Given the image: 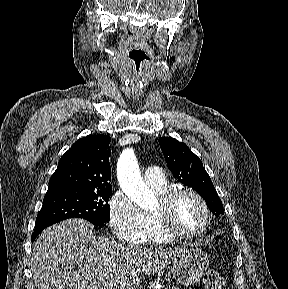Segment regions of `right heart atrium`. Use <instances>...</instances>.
Listing matches in <instances>:
<instances>
[{
  "label": "right heart atrium",
  "instance_id": "right-heart-atrium-1",
  "mask_svg": "<svg viewBox=\"0 0 288 289\" xmlns=\"http://www.w3.org/2000/svg\"><path fill=\"white\" fill-rule=\"evenodd\" d=\"M109 223L114 236L129 244L142 243L148 230L145 213L121 191L109 200Z\"/></svg>",
  "mask_w": 288,
  "mask_h": 289
}]
</instances>
